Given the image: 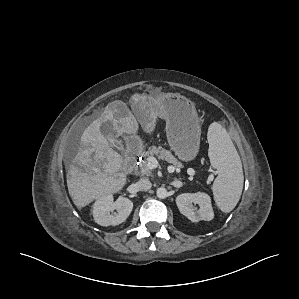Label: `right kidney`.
<instances>
[{
  "mask_svg": "<svg viewBox=\"0 0 299 299\" xmlns=\"http://www.w3.org/2000/svg\"><path fill=\"white\" fill-rule=\"evenodd\" d=\"M132 209L133 203L128 198L119 197L114 201L113 195L108 194L94 203L93 217L101 226H116L128 218Z\"/></svg>",
  "mask_w": 299,
  "mask_h": 299,
  "instance_id": "ca27d5eb",
  "label": "right kidney"
}]
</instances>
